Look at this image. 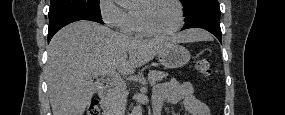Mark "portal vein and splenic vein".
Segmentation results:
<instances>
[{"label":"portal vein and splenic vein","mask_w":285,"mask_h":115,"mask_svg":"<svg viewBox=\"0 0 285 115\" xmlns=\"http://www.w3.org/2000/svg\"><path fill=\"white\" fill-rule=\"evenodd\" d=\"M97 73L108 77L112 82H114L117 85H125V82L115 70H110V71L98 70Z\"/></svg>","instance_id":"18ae733b"}]
</instances>
